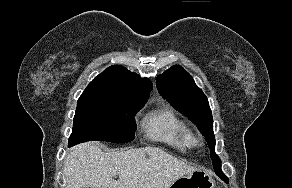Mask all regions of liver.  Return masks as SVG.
Here are the masks:
<instances>
[{
	"label": "liver",
	"mask_w": 292,
	"mask_h": 188,
	"mask_svg": "<svg viewBox=\"0 0 292 188\" xmlns=\"http://www.w3.org/2000/svg\"><path fill=\"white\" fill-rule=\"evenodd\" d=\"M197 169L158 147L104 152L88 142L70 149L63 173L66 188H168Z\"/></svg>",
	"instance_id": "obj_1"
}]
</instances>
